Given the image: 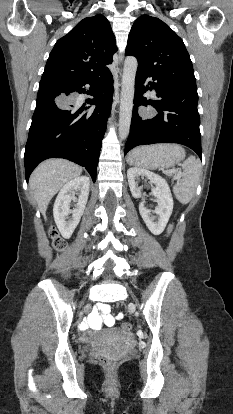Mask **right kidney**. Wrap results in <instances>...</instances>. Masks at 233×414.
<instances>
[{
  "label": "right kidney",
  "instance_id": "1",
  "mask_svg": "<svg viewBox=\"0 0 233 414\" xmlns=\"http://www.w3.org/2000/svg\"><path fill=\"white\" fill-rule=\"evenodd\" d=\"M89 188L90 180L87 176L74 178L61 188L54 203L53 215L64 238H70L77 227L87 204ZM72 201L76 202L73 210L70 209ZM70 214L72 217H69Z\"/></svg>",
  "mask_w": 233,
  "mask_h": 414
}]
</instances>
